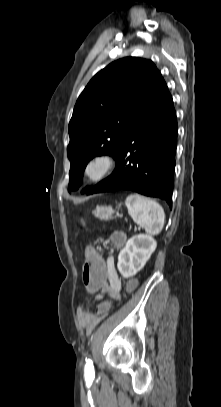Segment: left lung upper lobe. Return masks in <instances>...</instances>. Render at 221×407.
Instances as JSON below:
<instances>
[{
    "instance_id": "1",
    "label": "left lung upper lobe",
    "mask_w": 221,
    "mask_h": 407,
    "mask_svg": "<svg viewBox=\"0 0 221 407\" xmlns=\"http://www.w3.org/2000/svg\"><path fill=\"white\" fill-rule=\"evenodd\" d=\"M162 79L151 60L125 57L90 80L69 123V192L79 188L84 169L93 157L117 155L129 126Z\"/></svg>"
}]
</instances>
